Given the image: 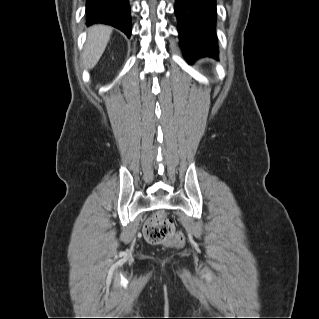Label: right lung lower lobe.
Returning <instances> with one entry per match:
<instances>
[{
	"instance_id": "right-lung-lower-lobe-1",
	"label": "right lung lower lobe",
	"mask_w": 319,
	"mask_h": 319,
	"mask_svg": "<svg viewBox=\"0 0 319 319\" xmlns=\"http://www.w3.org/2000/svg\"><path fill=\"white\" fill-rule=\"evenodd\" d=\"M87 25H111L128 37L131 35V15L128 0H86Z\"/></svg>"
}]
</instances>
